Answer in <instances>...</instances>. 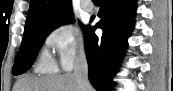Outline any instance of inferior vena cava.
I'll list each match as a JSON object with an SVG mask.
<instances>
[{
  "mask_svg": "<svg viewBox=\"0 0 173 91\" xmlns=\"http://www.w3.org/2000/svg\"><path fill=\"white\" fill-rule=\"evenodd\" d=\"M73 76L78 83L79 91H88V63L84 52L80 53L75 62Z\"/></svg>",
  "mask_w": 173,
  "mask_h": 91,
  "instance_id": "inferior-vena-cava-1",
  "label": "inferior vena cava"
}]
</instances>
